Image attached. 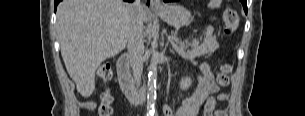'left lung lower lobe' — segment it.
Returning <instances> with one entry per match:
<instances>
[{"instance_id":"1","label":"left lung lower lobe","mask_w":305,"mask_h":116,"mask_svg":"<svg viewBox=\"0 0 305 116\" xmlns=\"http://www.w3.org/2000/svg\"><path fill=\"white\" fill-rule=\"evenodd\" d=\"M173 1L174 0H164V2H173ZM241 2L243 4L245 12L247 13V3H246V0H241Z\"/></svg>"}]
</instances>
